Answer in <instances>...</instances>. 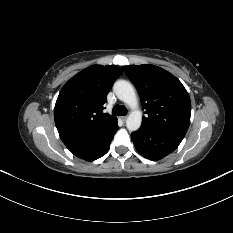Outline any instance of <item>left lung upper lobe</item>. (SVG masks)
<instances>
[{
    "label": "left lung upper lobe",
    "mask_w": 233,
    "mask_h": 233,
    "mask_svg": "<svg viewBox=\"0 0 233 233\" xmlns=\"http://www.w3.org/2000/svg\"><path fill=\"white\" fill-rule=\"evenodd\" d=\"M123 70L146 110L142 126L184 137L190 124L191 101L182 83L154 65H130Z\"/></svg>",
    "instance_id": "1"
}]
</instances>
